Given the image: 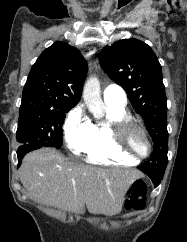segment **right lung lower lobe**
<instances>
[{
	"instance_id": "1",
	"label": "right lung lower lobe",
	"mask_w": 187,
	"mask_h": 242,
	"mask_svg": "<svg viewBox=\"0 0 187 242\" xmlns=\"http://www.w3.org/2000/svg\"><path fill=\"white\" fill-rule=\"evenodd\" d=\"M41 145H35V144H23L21 145L17 150V157H18V167L20 166L23 157L30 151L42 148Z\"/></svg>"
}]
</instances>
